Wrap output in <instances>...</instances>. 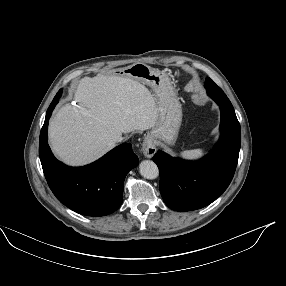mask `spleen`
Here are the masks:
<instances>
[{
    "label": "spleen",
    "mask_w": 286,
    "mask_h": 286,
    "mask_svg": "<svg viewBox=\"0 0 286 286\" xmlns=\"http://www.w3.org/2000/svg\"><path fill=\"white\" fill-rule=\"evenodd\" d=\"M204 155V151L202 149H194L183 151L179 154L180 157L184 159H198Z\"/></svg>",
    "instance_id": "1"
}]
</instances>
